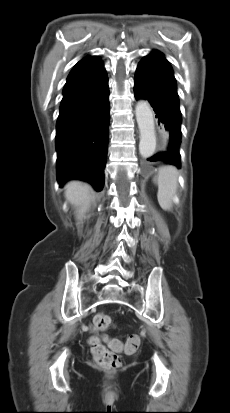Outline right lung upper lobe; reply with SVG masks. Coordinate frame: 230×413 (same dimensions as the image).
Listing matches in <instances>:
<instances>
[{
    "label": "right lung upper lobe",
    "mask_w": 230,
    "mask_h": 413,
    "mask_svg": "<svg viewBox=\"0 0 230 413\" xmlns=\"http://www.w3.org/2000/svg\"><path fill=\"white\" fill-rule=\"evenodd\" d=\"M103 67L102 60L97 56H86L71 70L67 80L82 77Z\"/></svg>",
    "instance_id": "obj_1"
}]
</instances>
